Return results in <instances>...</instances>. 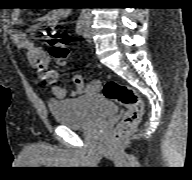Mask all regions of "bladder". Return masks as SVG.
<instances>
[{"label": "bladder", "instance_id": "31cf9c89", "mask_svg": "<svg viewBox=\"0 0 192 180\" xmlns=\"http://www.w3.org/2000/svg\"><path fill=\"white\" fill-rule=\"evenodd\" d=\"M48 109L58 124L72 129L88 127L117 112V106L100 95L65 101L51 100Z\"/></svg>", "mask_w": 192, "mask_h": 180}]
</instances>
